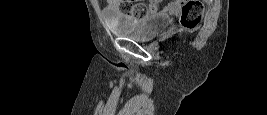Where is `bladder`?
<instances>
[{
  "instance_id": "bladder-1",
  "label": "bladder",
  "mask_w": 267,
  "mask_h": 115,
  "mask_svg": "<svg viewBox=\"0 0 267 115\" xmlns=\"http://www.w3.org/2000/svg\"><path fill=\"white\" fill-rule=\"evenodd\" d=\"M171 17L164 13L144 15L135 23L110 25L113 33L134 41H148L158 36L171 24Z\"/></svg>"
}]
</instances>
